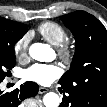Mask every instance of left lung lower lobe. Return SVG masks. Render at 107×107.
I'll list each match as a JSON object with an SVG mask.
<instances>
[{"label": "left lung lower lobe", "instance_id": "obj_1", "mask_svg": "<svg viewBox=\"0 0 107 107\" xmlns=\"http://www.w3.org/2000/svg\"><path fill=\"white\" fill-rule=\"evenodd\" d=\"M60 84V83H59ZM60 93H64L60 107H69L68 100L73 98L74 90L60 84ZM83 92L82 107H107V79L98 78L81 84ZM66 93V94H65Z\"/></svg>", "mask_w": 107, "mask_h": 107}]
</instances>
